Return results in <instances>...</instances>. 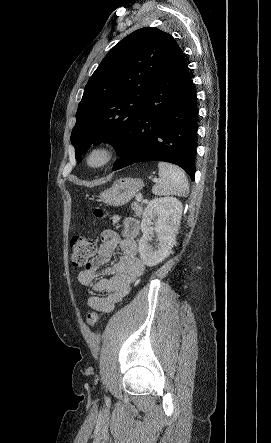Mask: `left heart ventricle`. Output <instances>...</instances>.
Returning a JSON list of instances; mask_svg holds the SVG:
<instances>
[{
    "mask_svg": "<svg viewBox=\"0 0 271 443\" xmlns=\"http://www.w3.org/2000/svg\"><path fill=\"white\" fill-rule=\"evenodd\" d=\"M104 159V153L102 150H94L87 158V164L89 166H96L100 164Z\"/></svg>",
    "mask_w": 271,
    "mask_h": 443,
    "instance_id": "1",
    "label": "left heart ventricle"
}]
</instances>
